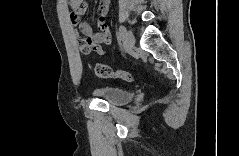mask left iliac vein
I'll return each instance as SVG.
<instances>
[{"label":"left iliac vein","instance_id":"left-iliac-vein-1","mask_svg":"<svg viewBox=\"0 0 239 156\" xmlns=\"http://www.w3.org/2000/svg\"><path fill=\"white\" fill-rule=\"evenodd\" d=\"M125 44L127 49H132L135 45V37L131 31L125 33Z\"/></svg>","mask_w":239,"mask_h":156}]
</instances>
